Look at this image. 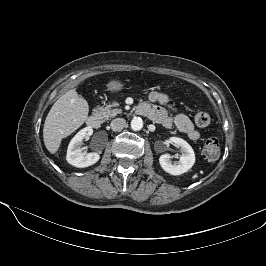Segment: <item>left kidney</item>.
<instances>
[{
  "label": "left kidney",
  "instance_id": "5707ae66",
  "mask_svg": "<svg viewBox=\"0 0 266 266\" xmlns=\"http://www.w3.org/2000/svg\"><path fill=\"white\" fill-rule=\"evenodd\" d=\"M172 142L176 147L181 150L179 161L172 163L170 155L163 154L159 158V163L162 169L171 175H181L187 172L195 163V153L192 147L183 139L178 137H171Z\"/></svg>",
  "mask_w": 266,
  "mask_h": 266
}]
</instances>
